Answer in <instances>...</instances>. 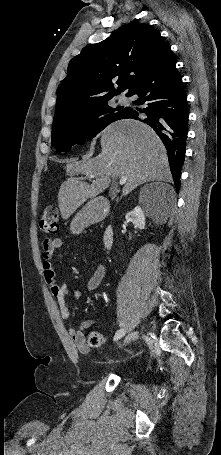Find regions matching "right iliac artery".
<instances>
[{"label": "right iliac artery", "mask_w": 221, "mask_h": 455, "mask_svg": "<svg viewBox=\"0 0 221 455\" xmlns=\"http://www.w3.org/2000/svg\"><path fill=\"white\" fill-rule=\"evenodd\" d=\"M125 332L126 331L124 329L118 330L114 336V340H118V339L122 338L125 335Z\"/></svg>", "instance_id": "1"}]
</instances>
